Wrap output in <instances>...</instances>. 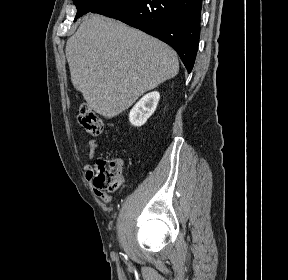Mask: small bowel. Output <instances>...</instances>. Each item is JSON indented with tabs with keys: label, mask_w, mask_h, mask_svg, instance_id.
I'll list each match as a JSON object with an SVG mask.
<instances>
[{
	"label": "small bowel",
	"mask_w": 288,
	"mask_h": 280,
	"mask_svg": "<svg viewBox=\"0 0 288 280\" xmlns=\"http://www.w3.org/2000/svg\"><path fill=\"white\" fill-rule=\"evenodd\" d=\"M89 147V156L94 157L96 149L99 147V144L96 140H89L87 142ZM86 179L91 183L94 178V168L91 165H86L84 168ZM94 194L101 198L104 202H110L111 196L102 190L101 188L96 187L95 185H91Z\"/></svg>",
	"instance_id": "obj_1"
}]
</instances>
